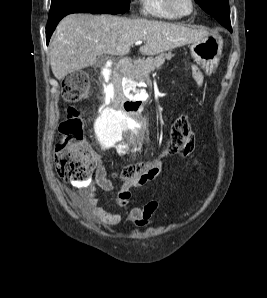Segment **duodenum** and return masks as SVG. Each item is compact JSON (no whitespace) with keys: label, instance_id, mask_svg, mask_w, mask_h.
I'll list each match as a JSON object with an SVG mask.
<instances>
[{"label":"duodenum","instance_id":"duodenum-1","mask_svg":"<svg viewBox=\"0 0 267 298\" xmlns=\"http://www.w3.org/2000/svg\"><path fill=\"white\" fill-rule=\"evenodd\" d=\"M131 60L123 58L119 61L117 67H113V75H109L111 84H107V89L115 92L116 101H112L113 112H119V115H144L146 104L144 100L137 97H128L126 94V84L122 81L123 76H129Z\"/></svg>","mask_w":267,"mask_h":298}]
</instances>
